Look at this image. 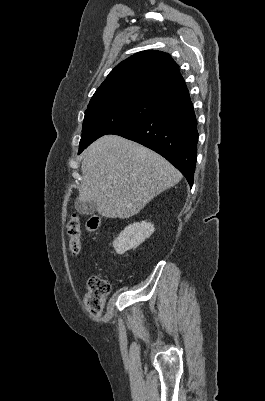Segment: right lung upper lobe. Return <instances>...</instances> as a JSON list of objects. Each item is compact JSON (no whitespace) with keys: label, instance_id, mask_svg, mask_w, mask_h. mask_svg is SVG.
I'll return each mask as SVG.
<instances>
[{"label":"right lung upper lobe","instance_id":"cb5924a9","mask_svg":"<svg viewBox=\"0 0 265 401\" xmlns=\"http://www.w3.org/2000/svg\"><path fill=\"white\" fill-rule=\"evenodd\" d=\"M189 94L179 66L165 52H138L117 65L94 93L88 106L121 100L160 104Z\"/></svg>","mask_w":265,"mask_h":401}]
</instances>
